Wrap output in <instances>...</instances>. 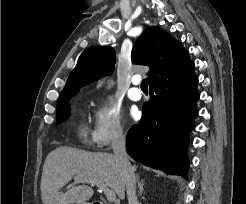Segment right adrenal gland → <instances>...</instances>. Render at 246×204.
I'll list each match as a JSON object with an SVG mask.
<instances>
[{
  "mask_svg": "<svg viewBox=\"0 0 246 204\" xmlns=\"http://www.w3.org/2000/svg\"><path fill=\"white\" fill-rule=\"evenodd\" d=\"M136 180H137V183H138V195L139 196H142L143 194V184H144V180H141L139 179V174H136Z\"/></svg>",
  "mask_w": 246,
  "mask_h": 204,
  "instance_id": "right-adrenal-gland-1",
  "label": "right adrenal gland"
}]
</instances>
